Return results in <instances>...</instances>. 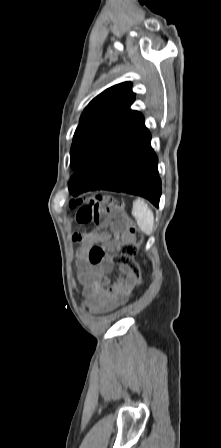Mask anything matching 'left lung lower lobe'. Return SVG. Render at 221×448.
Wrapping results in <instances>:
<instances>
[{
  "label": "left lung lower lobe",
  "mask_w": 221,
  "mask_h": 448,
  "mask_svg": "<svg viewBox=\"0 0 221 448\" xmlns=\"http://www.w3.org/2000/svg\"><path fill=\"white\" fill-rule=\"evenodd\" d=\"M145 125L118 145L107 157L71 177L69 191L74 196L89 190H111L139 195L159 206L161 180L158 159L150 145Z\"/></svg>",
  "instance_id": "left-lung-lower-lobe-1"
}]
</instances>
